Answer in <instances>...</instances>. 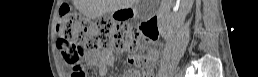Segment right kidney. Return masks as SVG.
<instances>
[{"label": "right kidney", "instance_id": "right-kidney-1", "mask_svg": "<svg viewBox=\"0 0 258 77\" xmlns=\"http://www.w3.org/2000/svg\"><path fill=\"white\" fill-rule=\"evenodd\" d=\"M179 2H180V0H177V4H179ZM192 3H193V0H189V5L187 7H185L184 9H182V11H181V13H182V21H183L185 15L187 13H189V11L191 10ZM171 4H172V1H171L170 4H165V3L162 4V8L159 10V18H167L168 17V15H169V8H170Z\"/></svg>", "mask_w": 258, "mask_h": 77}]
</instances>
